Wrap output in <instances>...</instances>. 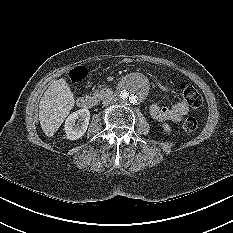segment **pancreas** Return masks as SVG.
Returning <instances> with one entry per match:
<instances>
[{"mask_svg":"<svg viewBox=\"0 0 233 233\" xmlns=\"http://www.w3.org/2000/svg\"><path fill=\"white\" fill-rule=\"evenodd\" d=\"M107 88H102L101 90H93L95 94L104 95L106 93Z\"/></svg>","mask_w":233,"mask_h":233,"instance_id":"1","label":"pancreas"}]
</instances>
